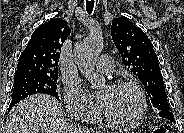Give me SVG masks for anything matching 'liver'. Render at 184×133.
Here are the masks:
<instances>
[{"mask_svg": "<svg viewBox=\"0 0 184 133\" xmlns=\"http://www.w3.org/2000/svg\"><path fill=\"white\" fill-rule=\"evenodd\" d=\"M6 133H86L69 125L51 96L36 94L14 106L8 114ZM88 133V132H87Z\"/></svg>", "mask_w": 184, "mask_h": 133, "instance_id": "1", "label": "liver"}]
</instances>
